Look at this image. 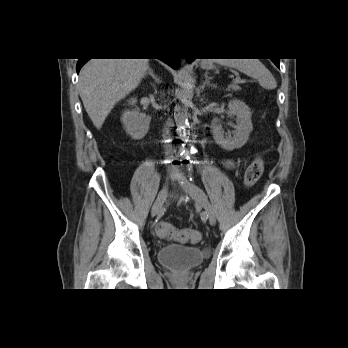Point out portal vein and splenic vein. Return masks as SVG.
Wrapping results in <instances>:
<instances>
[{"mask_svg":"<svg viewBox=\"0 0 348 348\" xmlns=\"http://www.w3.org/2000/svg\"><path fill=\"white\" fill-rule=\"evenodd\" d=\"M234 82L238 83V82H240V79H239V78H236V79L234 80Z\"/></svg>","mask_w":348,"mask_h":348,"instance_id":"obj_1","label":"portal vein and splenic vein"}]
</instances>
